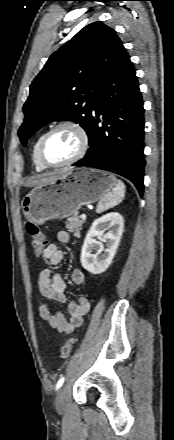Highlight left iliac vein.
<instances>
[{
    "label": "left iliac vein",
    "instance_id": "left-iliac-vein-1",
    "mask_svg": "<svg viewBox=\"0 0 174 440\" xmlns=\"http://www.w3.org/2000/svg\"><path fill=\"white\" fill-rule=\"evenodd\" d=\"M65 393L66 388L62 387L58 390L55 397V408L59 413L65 410Z\"/></svg>",
    "mask_w": 174,
    "mask_h": 440
}]
</instances>
